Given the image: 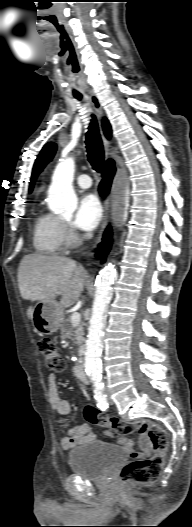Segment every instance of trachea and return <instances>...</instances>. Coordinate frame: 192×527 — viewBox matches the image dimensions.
<instances>
[{
	"instance_id": "obj_1",
	"label": "trachea",
	"mask_w": 192,
	"mask_h": 527,
	"mask_svg": "<svg viewBox=\"0 0 192 527\" xmlns=\"http://www.w3.org/2000/svg\"><path fill=\"white\" fill-rule=\"evenodd\" d=\"M77 99H81V94L74 95ZM86 146L88 153V160L92 168L100 172L104 162V148L99 133L98 123L94 115H92L91 122L86 133Z\"/></svg>"
}]
</instances>
